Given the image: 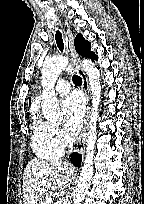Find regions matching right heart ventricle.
Listing matches in <instances>:
<instances>
[{
    "label": "right heart ventricle",
    "mask_w": 144,
    "mask_h": 204,
    "mask_svg": "<svg viewBox=\"0 0 144 204\" xmlns=\"http://www.w3.org/2000/svg\"><path fill=\"white\" fill-rule=\"evenodd\" d=\"M31 148L41 160L54 161L63 154V148L53 136V126L33 111L31 118Z\"/></svg>",
    "instance_id": "1"
}]
</instances>
